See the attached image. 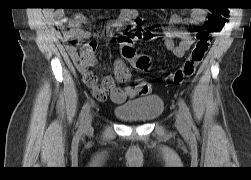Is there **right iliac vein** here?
I'll use <instances>...</instances> for the list:
<instances>
[{
    "label": "right iliac vein",
    "mask_w": 251,
    "mask_h": 180,
    "mask_svg": "<svg viewBox=\"0 0 251 180\" xmlns=\"http://www.w3.org/2000/svg\"><path fill=\"white\" fill-rule=\"evenodd\" d=\"M92 114L89 113L86 117L85 123L83 125L84 131H88L91 129V123H92Z\"/></svg>",
    "instance_id": "obj_1"
}]
</instances>
